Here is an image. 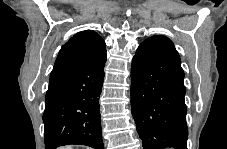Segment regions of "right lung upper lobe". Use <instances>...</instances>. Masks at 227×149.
<instances>
[{"label":"right lung upper lobe","instance_id":"right-lung-upper-lobe-1","mask_svg":"<svg viewBox=\"0 0 227 149\" xmlns=\"http://www.w3.org/2000/svg\"><path fill=\"white\" fill-rule=\"evenodd\" d=\"M104 60L106 48L102 37L93 30L79 32L60 49L50 80L95 66Z\"/></svg>","mask_w":227,"mask_h":149}]
</instances>
